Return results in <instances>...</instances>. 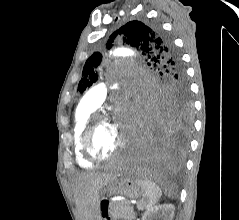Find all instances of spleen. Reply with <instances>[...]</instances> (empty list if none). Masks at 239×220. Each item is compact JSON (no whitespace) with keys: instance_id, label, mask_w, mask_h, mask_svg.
I'll return each instance as SVG.
<instances>
[{"instance_id":"obj_1","label":"spleen","mask_w":239,"mask_h":220,"mask_svg":"<svg viewBox=\"0 0 239 220\" xmlns=\"http://www.w3.org/2000/svg\"><path fill=\"white\" fill-rule=\"evenodd\" d=\"M142 189V199L137 204L139 210L149 209L155 205L162 195L160 187L150 179H136Z\"/></svg>"}]
</instances>
